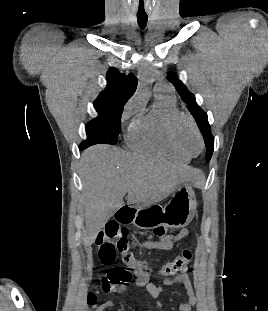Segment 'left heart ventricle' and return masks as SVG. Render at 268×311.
Returning a JSON list of instances; mask_svg holds the SVG:
<instances>
[{
	"instance_id": "obj_1",
	"label": "left heart ventricle",
	"mask_w": 268,
	"mask_h": 311,
	"mask_svg": "<svg viewBox=\"0 0 268 311\" xmlns=\"http://www.w3.org/2000/svg\"><path fill=\"white\" fill-rule=\"evenodd\" d=\"M178 139L181 145L191 154L199 151V140L192 127L185 120H181L177 129Z\"/></svg>"
}]
</instances>
